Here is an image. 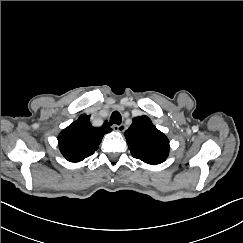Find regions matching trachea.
I'll list each match as a JSON object with an SVG mask.
<instances>
[{"label": "trachea", "instance_id": "3493384b", "mask_svg": "<svg viewBox=\"0 0 243 243\" xmlns=\"http://www.w3.org/2000/svg\"><path fill=\"white\" fill-rule=\"evenodd\" d=\"M121 121H122V117H121V114L118 112V111H114L110 117V124L113 125V124H121Z\"/></svg>", "mask_w": 243, "mask_h": 243}]
</instances>
